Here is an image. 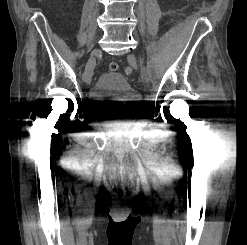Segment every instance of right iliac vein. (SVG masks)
Masks as SVG:
<instances>
[{"label": "right iliac vein", "mask_w": 247, "mask_h": 245, "mask_svg": "<svg viewBox=\"0 0 247 245\" xmlns=\"http://www.w3.org/2000/svg\"><path fill=\"white\" fill-rule=\"evenodd\" d=\"M99 53L98 49H94L91 53V56L86 64L85 71L83 74V79L86 83H90L92 74H93V69L95 67V56H97Z\"/></svg>", "instance_id": "63e3f726"}]
</instances>
